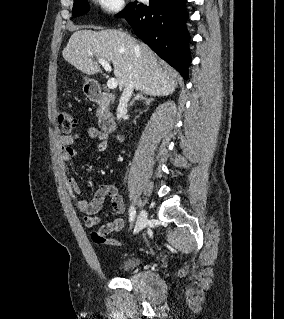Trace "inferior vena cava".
I'll return each instance as SVG.
<instances>
[{
  "instance_id": "inferior-vena-cava-1",
  "label": "inferior vena cava",
  "mask_w": 284,
  "mask_h": 319,
  "mask_svg": "<svg viewBox=\"0 0 284 319\" xmlns=\"http://www.w3.org/2000/svg\"><path fill=\"white\" fill-rule=\"evenodd\" d=\"M134 88H135V81L134 80L129 81L119 100V105L117 108V112L119 114H125L127 112L128 102L132 96Z\"/></svg>"
}]
</instances>
